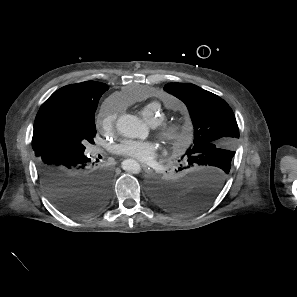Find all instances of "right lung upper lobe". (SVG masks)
<instances>
[{"mask_svg":"<svg viewBox=\"0 0 297 297\" xmlns=\"http://www.w3.org/2000/svg\"><path fill=\"white\" fill-rule=\"evenodd\" d=\"M108 89L104 83L86 81L64 86L54 92L40 107L34 122L32 148L36 157L43 152L40 147L42 129L53 114L63 109L76 114H83L87 110L96 111L101 95Z\"/></svg>","mask_w":297,"mask_h":297,"instance_id":"1","label":"right lung upper lobe"}]
</instances>
